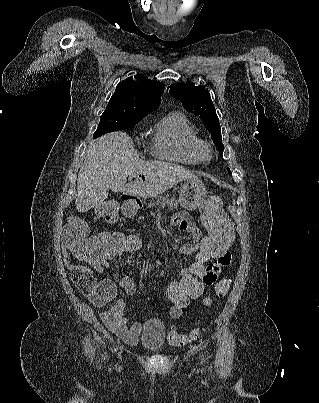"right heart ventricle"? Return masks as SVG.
I'll return each instance as SVG.
<instances>
[{"label":"right heart ventricle","instance_id":"1","mask_svg":"<svg viewBox=\"0 0 319 403\" xmlns=\"http://www.w3.org/2000/svg\"><path fill=\"white\" fill-rule=\"evenodd\" d=\"M197 139L189 118L180 111H173L154 125L151 153L159 159L194 165L200 161L195 151Z\"/></svg>","mask_w":319,"mask_h":403}]
</instances>
